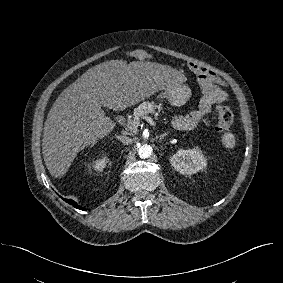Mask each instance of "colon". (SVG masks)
Instances as JSON below:
<instances>
[{"label": "colon", "mask_w": 283, "mask_h": 283, "mask_svg": "<svg viewBox=\"0 0 283 283\" xmlns=\"http://www.w3.org/2000/svg\"><path fill=\"white\" fill-rule=\"evenodd\" d=\"M132 55L138 59H147L149 57V53L143 50H135ZM216 114L218 117L216 131L219 136L223 137L231 128L233 123V114L227 106L223 105L216 107Z\"/></svg>", "instance_id": "1"}]
</instances>
